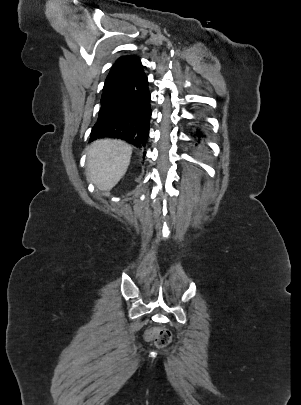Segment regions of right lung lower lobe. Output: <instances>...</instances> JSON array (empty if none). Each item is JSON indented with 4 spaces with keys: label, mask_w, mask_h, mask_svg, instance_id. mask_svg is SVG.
I'll list each match as a JSON object with an SVG mask.
<instances>
[{
    "label": "right lung lower lobe",
    "mask_w": 301,
    "mask_h": 405,
    "mask_svg": "<svg viewBox=\"0 0 301 405\" xmlns=\"http://www.w3.org/2000/svg\"><path fill=\"white\" fill-rule=\"evenodd\" d=\"M98 119L90 140L116 138L144 148L150 129V92L139 60L103 89Z\"/></svg>",
    "instance_id": "obj_1"
}]
</instances>
